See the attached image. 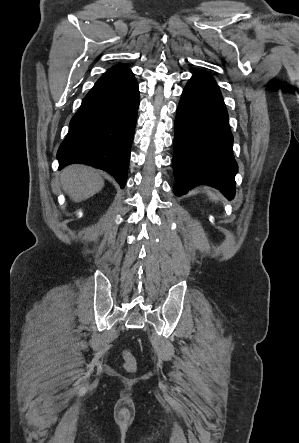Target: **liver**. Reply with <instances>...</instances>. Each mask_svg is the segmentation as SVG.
I'll return each mask as SVG.
<instances>
[{"label":"liver","mask_w":299,"mask_h":443,"mask_svg":"<svg viewBox=\"0 0 299 443\" xmlns=\"http://www.w3.org/2000/svg\"><path fill=\"white\" fill-rule=\"evenodd\" d=\"M60 184L74 202H81L98 193L104 180L98 170L81 164L66 166L60 173Z\"/></svg>","instance_id":"obj_1"}]
</instances>
